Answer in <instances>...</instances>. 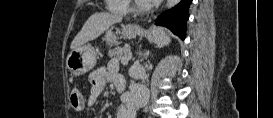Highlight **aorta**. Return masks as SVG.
I'll return each instance as SVG.
<instances>
[{
	"label": "aorta",
	"mask_w": 273,
	"mask_h": 118,
	"mask_svg": "<svg viewBox=\"0 0 273 118\" xmlns=\"http://www.w3.org/2000/svg\"><path fill=\"white\" fill-rule=\"evenodd\" d=\"M179 3V0H167L166 7L172 8Z\"/></svg>",
	"instance_id": "aorta-1"
}]
</instances>
